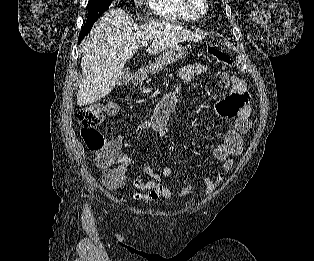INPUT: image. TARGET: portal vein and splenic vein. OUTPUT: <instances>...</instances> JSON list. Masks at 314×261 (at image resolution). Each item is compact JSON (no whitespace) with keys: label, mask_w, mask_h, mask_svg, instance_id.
Masks as SVG:
<instances>
[{"label":"portal vein and splenic vein","mask_w":314,"mask_h":261,"mask_svg":"<svg viewBox=\"0 0 314 261\" xmlns=\"http://www.w3.org/2000/svg\"><path fill=\"white\" fill-rule=\"evenodd\" d=\"M148 43L147 42H142L143 47H147Z\"/></svg>","instance_id":"obj_1"}]
</instances>
